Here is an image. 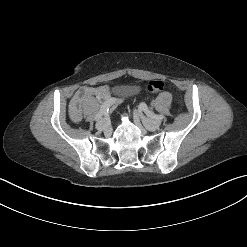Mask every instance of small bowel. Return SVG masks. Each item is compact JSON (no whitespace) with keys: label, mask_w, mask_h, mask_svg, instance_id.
I'll return each mask as SVG.
<instances>
[{"label":"small bowel","mask_w":247,"mask_h":247,"mask_svg":"<svg viewBox=\"0 0 247 247\" xmlns=\"http://www.w3.org/2000/svg\"><path fill=\"white\" fill-rule=\"evenodd\" d=\"M108 87L99 86L91 87L86 86L78 89L70 102V116L74 122H80L82 119V102L89 96L95 95L98 98H106L108 96Z\"/></svg>","instance_id":"small-bowel-1"}]
</instances>
